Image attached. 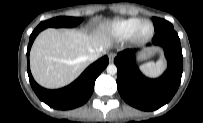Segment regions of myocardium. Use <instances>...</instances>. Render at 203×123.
I'll list each match as a JSON object with an SVG mask.
<instances>
[{"label": "myocardium", "instance_id": "f54148a6", "mask_svg": "<svg viewBox=\"0 0 203 123\" xmlns=\"http://www.w3.org/2000/svg\"><path fill=\"white\" fill-rule=\"evenodd\" d=\"M145 23H149L151 25V28H152L151 33L146 37H141L139 35V31H140L141 26ZM154 33H155L154 24L148 19H143L136 25V27L132 31L130 38L134 43L143 44V43L150 41L153 38Z\"/></svg>", "mask_w": 203, "mask_h": 123}]
</instances>
